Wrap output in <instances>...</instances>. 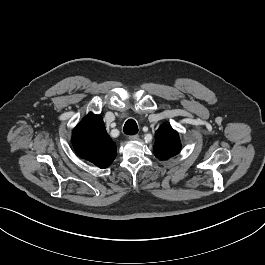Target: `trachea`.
Here are the masks:
<instances>
[{"mask_svg": "<svg viewBox=\"0 0 265 265\" xmlns=\"http://www.w3.org/2000/svg\"><path fill=\"white\" fill-rule=\"evenodd\" d=\"M123 131L127 135H135L138 132V126L135 120L129 119L126 121Z\"/></svg>", "mask_w": 265, "mask_h": 265, "instance_id": "obj_1", "label": "trachea"}]
</instances>
